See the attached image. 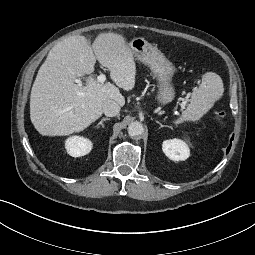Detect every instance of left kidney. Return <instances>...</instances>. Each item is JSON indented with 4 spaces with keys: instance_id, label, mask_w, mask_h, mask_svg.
<instances>
[{
    "instance_id": "1",
    "label": "left kidney",
    "mask_w": 255,
    "mask_h": 255,
    "mask_svg": "<svg viewBox=\"0 0 255 255\" xmlns=\"http://www.w3.org/2000/svg\"><path fill=\"white\" fill-rule=\"evenodd\" d=\"M162 150L173 161H184L190 156L188 145L180 139L165 140L162 144Z\"/></svg>"
}]
</instances>
